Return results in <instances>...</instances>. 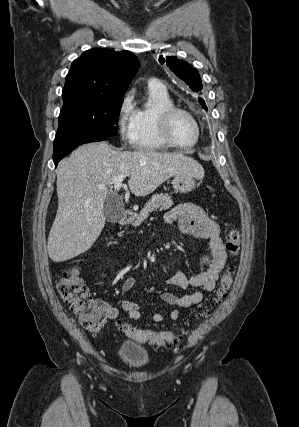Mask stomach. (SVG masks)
<instances>
[{
	"mask_svg": "<svg viewBox=\"0 0 299 427\" xmlns=\"http://www.w3.org/2000/svg\"><path fill=\"white\" fill-rule=\"evenodd\" d=\"M196 177L189 174L175 175L172 180V185L177 193L185 194L190 193L195 189Z\"/></svg>",
	"mask_w": 299,
	"mask_h": 427,
	"instance_id": "0dacf381",
	"label": "stomach"
}]
</instances>
